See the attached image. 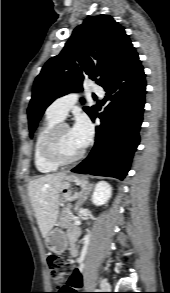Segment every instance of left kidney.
Listing matches in <instances>:
<instances>
[{
	"instance_id": "5707ae66",
	"label": "left kidney",
	"mask_w": 170,
	"mask_h": 293,
	"mask_svg": "<svg viewBox=\"0 0 170 293\" xmlns=\"http://www.w3.org/2000/svg\"><path fill=\"white\" fill-rule=\"evenodd\" d=\"M112 195V187L105 181L96 184L92 195V202L97 206L104 205L108 202Z\"/></svg>"
}]
</instances>
